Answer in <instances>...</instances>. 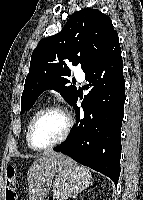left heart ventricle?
<instances>
[{"instance_id": "1", "label": "left heart ventricle", "mask_w": 143, "mask_h": 200, "mask_svg": "<svg viewBox=\"0 0 143 200\" xmlns=\"http://www.w3.org/2000/svg\"><path fill=\"white\" fill-rule=\"evenodd\" d=\"M66 118L61 112H50L42 117L33 129V142L46 146L58 140L65 131Z\"/></svg>"}]
</instances>
